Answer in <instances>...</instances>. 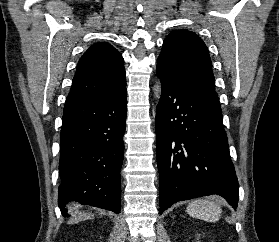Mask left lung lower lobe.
Wrapping results in <instances>:
<instances>
[{"instance_id": "obj_1", "label": "left lung lower lobe", "mask_w": 279, "mask_h": 242, "mask_svg": "<svg viewBox=\"0 0 279 242\" xmlns=\"http://www.w3.org/2000/svg\"><path fill=\"white\" fill-rule=\"evenodd\" d=\"M156 73L162 84L155 121L160 213L178 201L211 194L236 208L239 185L221 108L164 61L157 60Z\"/></svg>"}]
</instances>
